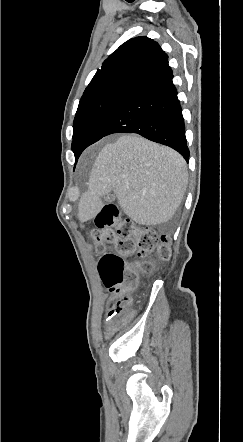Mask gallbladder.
<instances>
[{
    "label": "gallbladder",
    "instance_id": "obj_1",
    "mask_svg": "<svg viewBox=\"0 0 243 442\" xmlns=\"http://www.w3.org/2000/svg\"><path fill=\"white\" fill-rule=\"evenodd\" d=\"M112 199H116V200H117V196H116V194H114V193H110V194H108V195H104V196H103V203H104V204H105V203H109L110 200H112Z\"/></svg>",
    "mask_w": 243,
    "mask_h": 442
}]
</instances>
